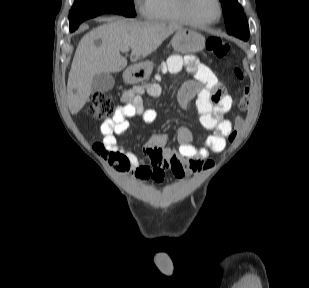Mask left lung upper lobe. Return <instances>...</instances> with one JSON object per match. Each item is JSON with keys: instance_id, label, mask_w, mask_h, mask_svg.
Segmentation results:
<instances>
[{"instance_id": "5c2ea615", "label": "left lung upper lobe", "mask_w": 309, "mask_h": 288, "mask_svg": "<svg viewBox=\"0 0 309 288\" xmlns=\"http://www.w3.org/2000/svg\"><path fill=\"white\" fill-rule=\"evenodd\" d=\"M225 16L227 32L229 34L240 33L248 34L249 27L242 10V7L237 0H220Z\"/></svg>"}]
</instances>
